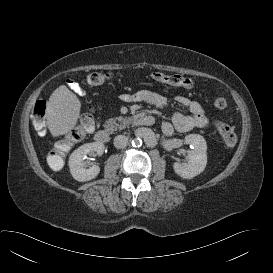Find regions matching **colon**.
Here are the masks:
<instances>
[{
  "instance_id": "5ec220e1",
  "label": "colon",
  "mask_w": 273,
  "mask_h": 273,
  "mask_svg": "<svg viewBox=\"0 0 273 273\" xmlns=\"http://www.w3.org/2000/svg\"><path fill=\"white\" fill-rule=\"evenodd\" d=\"M111 74L102 71H93L88 74L87 80L92 85H101L107 80H109ZM151 79L157 83L169 84L173 86H181L185 88H191L193 83L190 79L181 76L179 74H165L162 72H153L151 74ZM213 104L218 109H223L227 106L226 99L223 97H216L213 100ZM46 111H47V100L39 99L32 111V123L34 128L39 132L43 133L46 128ZM96 125L95 116L93 109L84 113L76 127L69 133L66 138L65 144L60 146L54 155L50 159L51 167L59 169L61 167L62 159L59 156L63 149L67 145H72L80 141L87 132L94 130ZM214 126L218 130L219 134L222 136L226 146L233 147L237 143V135L234 129L226 124L225 122L215 120Z\"/></svg>"
}]
</instances>
